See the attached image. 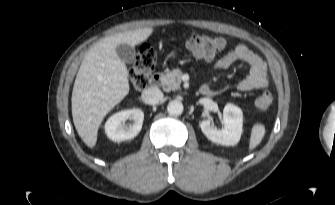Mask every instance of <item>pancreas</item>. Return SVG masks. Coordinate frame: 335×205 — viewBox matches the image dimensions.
<instances>
[{"label":"pancreas","instance_id":"cf45deb5","mask_svg":"<svg viewBox=\"0 0 335 205\" xmlns=\"http://www.w3.org/2000/svg\"><path fill=\"white\" fill-rule=\"evenodd\" d=\"M182 71L178 68L171 71L167 70L165 74L162 75V87L165 91H175L180 89L181 85Z\"/></svg>","mask_w":335,"mask_h":205}]
</instances>
